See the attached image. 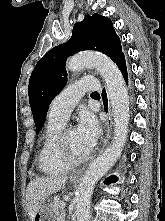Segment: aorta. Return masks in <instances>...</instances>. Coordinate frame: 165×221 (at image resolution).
Instances as JSON below:
<instances>
[{
  "mask_svg": "<svg viewBox=\"0 0 165 221\" xmlns=\"http://www.w3.org/2000/svg\"><path fill=\"white\" fill-rule=\"evenodd\" d=\"M94 67L103 77L114 118V140L86 170L75 198L77 221H89L91 196L96 183L104 176L120 157L128 134L129 97L123 76L117 65L106 55L84 53L73 56L66 64L75 72L85 67Z\"/></svg>",
  "mask_w": 165,
  "mask_h": 221,
  "instance_id": "1",
  "label": "aorta"
}]
</instances>
